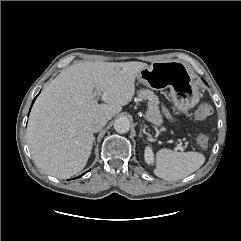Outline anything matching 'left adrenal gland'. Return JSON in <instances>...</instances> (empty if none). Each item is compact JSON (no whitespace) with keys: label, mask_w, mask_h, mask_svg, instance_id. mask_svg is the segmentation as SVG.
<instances>
[{"label":"left adrenal gland","mask_w":241,"mask_h":241,"mask_svg":"<svg viewBox=\"0 0 241 241\" xmlns=\"http://www.w3.org/2000/svg\"><path fill=\"white\" fill-rule=\"evenodd\" d=\"M142 131H143V133H145V129H143V130L141 129V130H140L139 136H142Z\"/></svg>","instance_id":"obj_1"}]
</instances>
